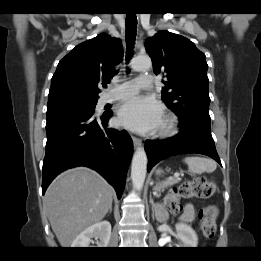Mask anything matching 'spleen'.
<instances>
[{
	"mask_svg": "<svg viewBox=\"0 0 261 261\" xmlns=\"http://www.w3.org/2000/svg\"><path fill=\"white\" fill-rule=\"evenodd\" d=\"M184 162L188 165L189 172L201 174L204 172L211 173L216 170L217 164L210 158L199 156L186 157Z\"/></svg>",
	"mask_w": 261,
	"mask_h": 261,
	"instance_id": "obj_1",
	"label": "spleen"
}]
</instances>
